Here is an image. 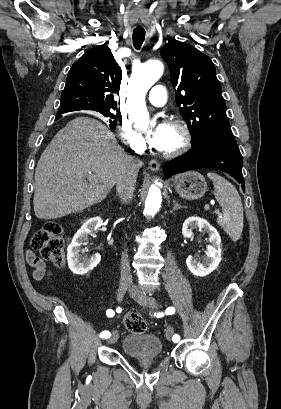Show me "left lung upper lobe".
Wrapping results in <instances>:
<instances>
[{
    "mask_svg": "<svg viewBox=\"0 0 281 409\" xmlns=\"http://www.w3.org/2000/svg\"><path fill=\"white\" fill-rule=\"evenodd\" d=\"M176 91V103L188 123L192 144L217 141L236 144L211 59L192 45L171 41L161 50ZM182 92V94H181Z\"/></svg>",
    "mask_w": 281,
    "mask_h": 409,
    "instance_id": "left-lung-upper-lobe-1",
    "label": "left lung upper lobe"
}]
</instances>
